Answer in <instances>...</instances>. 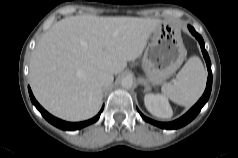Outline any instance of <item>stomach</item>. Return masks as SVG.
Here are the masks:
<instances>
[{
    "mask_svg": "<svg viewBox=\"0 0 238 158\" xmlns=\"http://www.w3.org/2000/svg\"><path fill=\"white\" fill-rule=\"evenodd\" d=\"M186 56L182 37L171 24L160 22L152 31L151 42L145 50L142 68L145 84L159 85L173 75Z\"/></svg>",
    "mask_w": 238,
    "mask_h": 158,
    "instance_id": "1",
    "label": "stomach"
}]
</instances>
